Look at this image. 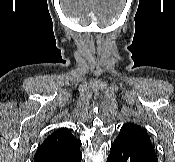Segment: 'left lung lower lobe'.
I'll return each mask as SVG.
<instances>
[{"label": "left lung lower lobe", "mask_w": 175, "mask_h": 162, "mask_svg": "<svg viewBox=\"0 0 175 162\" xmlns=\"http://www.w3.org/2000/svg\"><path fill=\"white\" fill-rule=\"evenodd\" d=\"M107 162H157V156L151 142L117 136Z\"/></svg>", "instance_id": "0a47b994"}]
</instances>
